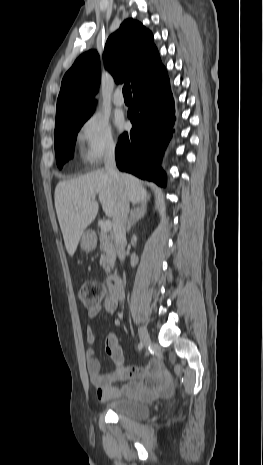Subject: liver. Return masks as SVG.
I'll use <instances>...</instances> for the list:
<instances>
[{
    "label": "liver",
    "instance_id": "obj_1",
    "mask_svg": "<svg viewBox=\"0 0 263 465\" xmlns=\"http://www.w3.org/2000/svg\"><path fill=\"white\" fill-rule=\"evenodd\" d=\"M128 200L133 204H146L149 196L142 181L128 173L119 174ZM99 196L103 211L113 217L117 205V187L104 171H94L67 181L55 188V208L66 250L73 256L85 229L97 216Z\"/></svg>",
    "mask_w": 263,
    "mask_h": 465
}]
</instances>
